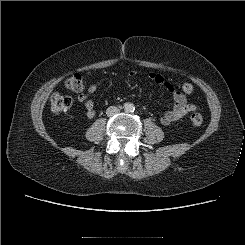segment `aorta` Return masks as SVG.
I'll list each match as a JSON object with an SVG mask.
<instances>
[{
	"mask_svg": "<svg viewBox=\"0 0 245 245\" xmlns=\"http://www.w3.org/2000/svg\"><path fill=\"white\" fill-rule=\"evenodd\" d=\"M124 111L127 112V113H131V112H134L135 110V106L133 103H125L124 106Z\"/></svg>",
	"mask_w": 245,
	"mask_h": 245,
	"instance_id": "762f6f07",
	"label": "aorta"
}]
</instances>
